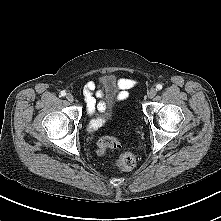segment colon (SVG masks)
<instances>
[{
    "instance_id": "1",
    "label": "colon",
    "mask_w": 221,
    "mask_h": 221,
    "mask_svg": "<svg viewBox=\"0 0 221 221\" xmlns=\"http://www.w3.org/2000/svg\"><path fill=\"white\" fill-rule=\"evenodd\" d=\"M120 140L114 136H105L99 140L98 153L104 155L108 149L117 148ZM136 156L131 151H123L116 160V167L120 171H130L136 166Z\"/></svg>"
}]
</instances>
